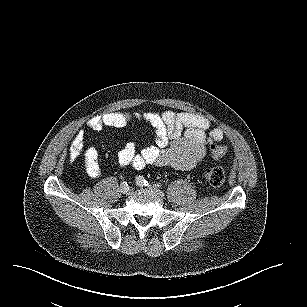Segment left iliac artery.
Masks as SVG:
<instances>
[{"instance_id":"obj_1","label":"left iliac artery","mask_w":307,"mask_h":307,"mask_svg":"<svg viewBox=\"0 0 307 307\" xmlns=\"http://www.w3.org/2000/svg\"><path fill=\"white\" fill-rule=\"evenodd\" d=\"M137 184H138V185H141V186H143V185H145V186L149 185V183H148V182L144 179V177H142V176H139V177L137 178ZM153 186L159 188V187L162 186V184L157 182V183H155Z\"/></svg>"}]
</instances>
